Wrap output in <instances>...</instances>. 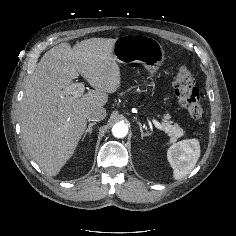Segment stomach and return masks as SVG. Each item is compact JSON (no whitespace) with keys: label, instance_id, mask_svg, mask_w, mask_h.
<instances>
[{"label":"stomach","instance_id":"stomach-1","mask_svg":"<svg viewBox=\"0 0 236 236\" xmlns=\"http://www.w3.org/2000/svg\"><path fill=\"white\" fill-rule=\"evenodd\" d=\"M113 56L118 63H141L149 72L150 79L165 59L162 45L154 38L142 34H128L115 40ZM151 85L154 86L153 81Z\"/></svg>","mask_w":236,"mask_h":236}]
</instances>
